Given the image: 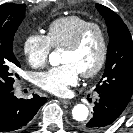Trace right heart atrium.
I'll use <instances>...</instances> for the list:
<instances>
[{
	"label": "right heart atrium",
	"mask_w": 133,
	"mask_h": 133,
	"mask_svg": "<svg viewBox=\"0 0 133 133\" xmlns=\"http://www.w3.org/2000/svg\"><path fill=\"white\" fill-rule=\"evenodd\" d=\"M52 45L47 35L34 33L29 35L23 44V52L27 62L34 68H42L47 62Z\"/></svg>",
	"instance_id": "d8ad5b80"
}]
</instances>
